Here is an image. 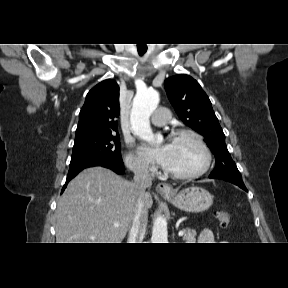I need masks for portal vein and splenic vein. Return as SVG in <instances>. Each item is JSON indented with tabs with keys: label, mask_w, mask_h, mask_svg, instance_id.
Listing matches in <instances>:
<instances>
[{
	"label": "portal vein and splenic vein",
	"mask_w": 288,
	"mask_h": 288,
	"mask_svg": "<svg viewBox=\"0 0 288 288\" xmlns=\"http://www.w3.org/2000/svg\"><path fill=\"white\" fill-rule=\"evenodd\" d=\"M114 226H115V227H118V226H119V224L115 223V224H114ZM183 234H184V232H183V231H179V233H178V235H179V236H182Z\"/></svg>",
	"instance_id": "18ae733b"
}]
</instances>
